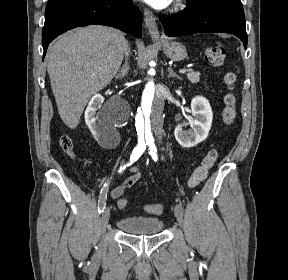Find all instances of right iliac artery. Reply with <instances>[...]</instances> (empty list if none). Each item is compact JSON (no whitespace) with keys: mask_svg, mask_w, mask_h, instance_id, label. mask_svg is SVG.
<instances>
[{"mask_svg":"<svg viewBox=\"0 0 288 280\" xmlns=\"http://www.w3.org/2000/svg\"><path fill=\"white\" fill-rule=\"evenodd\" d=\"M146 145L145 142H140L133 150L131 156H130V162L126 165L129 166L132 163H134L145 151L146 149ZM126 166H121L119 169V172H122V170L125 169ZM108 186H109V182H106L103 186V188L101 189L100 195H99V200H98V212L102 213L105 206H106V199H107V192H108Z\"/></svg>","mask_w":288,"mask_h":280,"instance_id":"82829eb1","label":"right iliac artery"}]
</instances>
